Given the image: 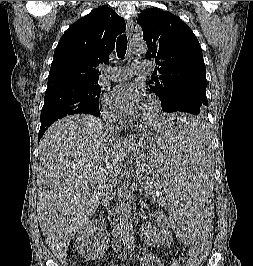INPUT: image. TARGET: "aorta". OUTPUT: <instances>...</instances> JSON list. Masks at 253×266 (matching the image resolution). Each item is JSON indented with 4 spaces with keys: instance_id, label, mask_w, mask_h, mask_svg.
Instances as JSON below:
<instances>
[{
    "instance_id": "obj_1",
    "label": "aorta",
    "mask_w": 253,
    "mask_h": 266,
    "mask_svg": "<svg viewBox=\"0 0 253 266\" xmlns=\"http://www.w3.org/2000/svg\"><path fill=\"white\" fill-rule=\"evenodd\" d=\"M131 52L134 54H144L147 51V46L143 41H134L130 45ZM118 224L121 233V239L124 244L133 243V226L131 217V206L124 200L121 202L118 208Z\"/></svg>"
}]
</instances>
